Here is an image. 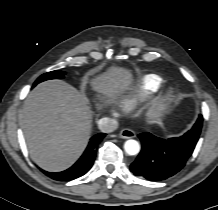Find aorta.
Returning <instances> with one entry per match:
<instances>
[{"label": "aorta", "instance_id": "1", "mask_svg": "<svg viewBox=\"0 0 218 210\" xmlns=\"http://www.w3.org/2000/svg\"><path fill=\"white\" fill-rule=\"evenodd\" d=\"M125 152L129 155H136L140 151V145L136 140H127L124 144Z\"/></svg>", "mask_w": 218, "mask_h": 210}]
</instances>
